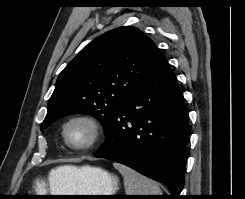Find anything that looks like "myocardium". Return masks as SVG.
<instances>
[{
    "mask_svg": "<svg viewBox=\"0 0 245 199\" xmlns=\"http://www.w3.org/2000/svg\"><path fill=\"white\" fill-rule=\"evenodd\" d=\"M75 121L85 122L86 124L89 125L91 129L92 132L91 139L84 145H79V146L74 145L69 141L67 137V128L71 123ZM102 136H103V130L101 124L98 122L96 118L88 114L78 113V114L71 115L66 119V121L62 125L63 140L65 144L74 151L83 152V151L91 150L101 141Z\"/></svg>",
    "mask_w": 245,
    "mask_h": 199,
    "instance_id": "myocardium-1",
    "label": "myocardium"
}]
</instances>
